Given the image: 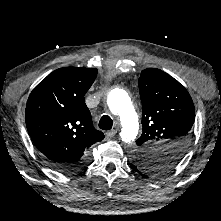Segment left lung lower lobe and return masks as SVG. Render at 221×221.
Listing matches in <instances>:
<instances>
[{
	"label": "left lung lower lobe",
	"instance_id": "left-lung-lower-lobe-1",
	"mask_svg": "<svg viewBox=\"0 0 221 221\" xmlns=\"http://www.w3.org/2000/svg\"><path fill=\"white\" fill-rule=\"evenodd\" d=\"M131 168H132L134 171H136L137 173H139L140 175H142L143 177H147V176H146V172H145L142 168H140L139 166L134 165V164H131Z\"/></svg>",
	"mask_w": 221,
	"mask_h": 221
}]
</instances>
